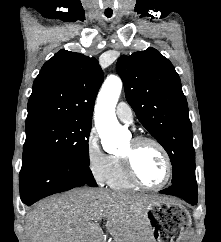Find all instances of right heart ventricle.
Returning a JSON list of instances; mask_svg holds the SVG:
<instances>
[{
    "instance_id": "1",
    "label": "right heart ventricle",
    "mask_w": 221,
    "mask_h": 242,
    "mask_svg": "<svg viewBox=\"0 0 221 242\" xmlns=\"http://www.w3.org/2000/svg\"><path fill=\"white\" fill-rule=\"evenodd\" d=\"M112 163L107 183L114 189H135L137 185L128 177L120 155H111Z\"/></svg>"
}]
</instances>
